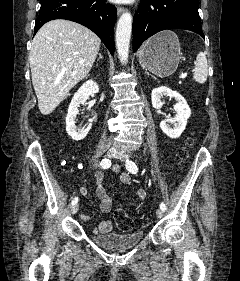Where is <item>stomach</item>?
Returning <instances> with one entry per match:
<instances>
[{
    "mask_svg": "<svg viewBox=\"0 0 240 281\" xmlns=\"http://www.w3.org/2000/svg\"><path fill=\"white\" fill-rule=\"evenodd\" d=\"M180 43L172 31H163L144 43L138 53L141 66L159 77L173 74L180 60Z\"/></svg>",
    "mask_w": 240,
    "mask_h": 281,
    "instance_id": "1",
    "label": "stomach"
}]
</instances>
